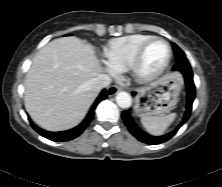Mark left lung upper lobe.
I'll list each match as a JSON object with an SVG mask.
<instances>
[{
    "label": "left lung upper lobe",
    "instance_id": "obj_1",
    "mask_svg": "<svg viewBox=\"0 0 222 187\" xmlns=\"http://www.w3.org/2000/svg\"><path fill=\"white\" fill-rule=\"evenodd\" d=\"M174 53H175V59L177 62H188L184 52L175 44L172 43Z\"/></svg>",
    "mask_w": 222,
    "mask_h": 187
}]
</instances>
